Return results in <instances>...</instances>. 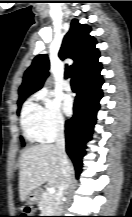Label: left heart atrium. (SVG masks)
Listing matches in <instances>:
<instances>
[{
  "instance_id": "1",
  "label": "left heart atrium",
  "mask_w": 132,
  "mask_h": 217,
  "mask_svg": "<svg viewBox=\"0 0 132 217\" xmlns=\"http://www.w3.org/2000/svg\"><path fill=\"white\" fill-rule=\"evenodd\" d=\"M62 108L65 114L69 115L73 109V100L70 96H65L62 101Z\"/></svg>"
}]
</instances>
